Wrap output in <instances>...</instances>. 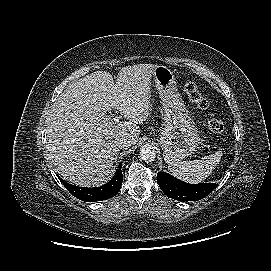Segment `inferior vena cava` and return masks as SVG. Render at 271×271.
I'll return each mask as SVG.
<instances>
[{
    "mask_svg": "<svg viewBox=\"0 0 271 271\" xmlns=\"http://www.w3.org/2000/svg\"><path fill=\"white\" fill-rule=\"evenodd\" d=\"M116 146L120 149L129 148L132 145L130 136H121L115 140Z\"/></svg>",
    "mask_w": 271,
    "mask_h": 271,
    "instance_id": "602c4592",
    "label": "inferior vena cava"
}]
</instances>
